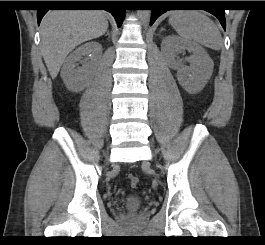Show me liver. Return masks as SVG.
<instances>
[{"instance_id": "obj_1", "label": "liver", "mask_w": 265, "mask_h": 245, "mask_svg": "<svg viewBox=\"0 0 265 245\" xmlns=\"http://www.w3.org/2000/svg\"><path fill=\"white\" fill-rule=\"evenodd\" d=\"M107 29L104 11H49L41 22V46L50 76L53 79L57 77L66 57L75 47L101 37Z\"/></svg>"}]
</instances>
